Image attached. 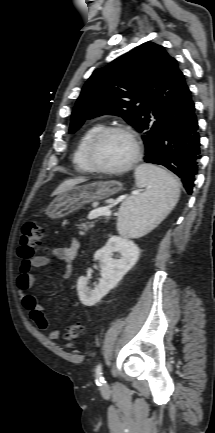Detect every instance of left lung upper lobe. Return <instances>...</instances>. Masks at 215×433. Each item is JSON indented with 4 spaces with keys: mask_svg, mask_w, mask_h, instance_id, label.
<instances>
[{
    "mask_svg": "<svg viewBox=\"0 0 215 433\" xmlns=\"http://www.w3.org/2000/svg\"><path fill=\"white\" fill-rule=\"evenodd\" d=\"M183 83L176 60L162 46L147 42L93 72L73 109L69 133L86 119L118 115L142 132L146 158L150 157Z\"/></svg>",
    "mask_w": 215,
    "mask_h": 433,
    "instance_id": "obj_1",
    "label": "left lung upper lobe"
}]
</instances>
